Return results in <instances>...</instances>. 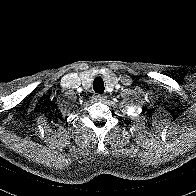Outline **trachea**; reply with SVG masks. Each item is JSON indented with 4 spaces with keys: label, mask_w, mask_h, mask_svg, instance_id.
I'll return each instance as SVG.
<instances>
[{
    "label": "trachea",
    "mask_w": 196,
    "mask_h": 196,
    "mask_svg": "<svg viewBox=\"0 0 196 196\" xmlns=\"http://www.w3.org/2000/svg\"><path fill=\"white\" fill-rule=\"evenodd\" d=\"M93 89L96 93L102 94L104 92V81L101 77H96L93 81Z\"/></svg>",
    "instance_id": "trachea-1"
}]
</instances>
